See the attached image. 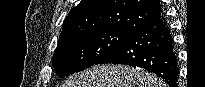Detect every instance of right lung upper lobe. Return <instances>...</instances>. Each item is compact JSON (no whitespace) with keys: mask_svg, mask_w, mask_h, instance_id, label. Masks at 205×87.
Instances as JSON below:
<instances>
[{"mask_svg":"<svg viewBox=\"0 0 205 87\" xmlns=\"http://www.w3.org/2000/svg\"><path fill=\"white\" fill-rule=\"evenodd\" d=\"M159 16V0H82L65 18L59 42L102 29L134 32Z\"/></svg>","mask_w":205,"mask_h":87,"instance_id":"right-lung-upper-lobe-1","label":"right lung upper lobe"}]
</instances>
